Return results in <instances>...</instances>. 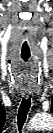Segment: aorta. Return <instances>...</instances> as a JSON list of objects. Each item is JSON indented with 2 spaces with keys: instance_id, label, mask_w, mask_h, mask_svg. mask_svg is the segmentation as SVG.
<instances>
[{
  "instance_id": "1",
  "label": "aorta",
  "mask_w": 53,
  "mask_h": 133,
  "mask_svg": "<svg viewBox=\"0 0 53 133\" xmlns=\"http://www.w3.org/2000/svg\"><path fill=\"white\" fill-rule=\"evenodd\" d=\"M52 124V118L50 114H40L31 120V128L42 129L50 127Z\"/></svg>"
}]
</instances>
